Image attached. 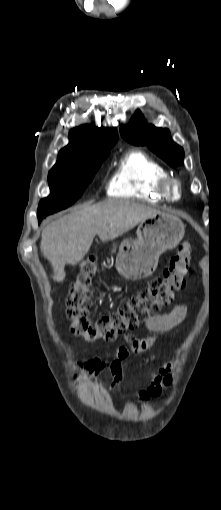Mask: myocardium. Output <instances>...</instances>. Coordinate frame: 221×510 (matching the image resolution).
I'll return each mask as SVG.
<instances>
[{"label": "myocardium", "instance_id": "1", "mask_svg": "<svg viewBox=\"0 0 221 510\" xmlns=\"http://www.w3.org/2000/svg\"><path fill=\"white\" fill-rule=\"evenodd\" d=\"M157 190L163 199L170 202H178L183 195L180 181L170 175L163 177L159 181Z\"/></svg>", "mask_w": 221, "mask_h": 510}]
</instances>
